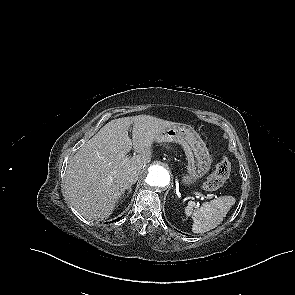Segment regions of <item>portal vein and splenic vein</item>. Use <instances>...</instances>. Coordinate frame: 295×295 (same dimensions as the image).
Returning <instances> with one entry per match:
<instances>
[{
    "instance_id": "1",
    "label": "portal vein and splenic vein",
    "mask_w": 295,
    "mask_h": 295,
    "mask_svg": "<svg viewBox=\"0 0 295 295\" xmlns=\"http://www.w3.org/2000/svg\"><path fill=\"white\" fill-rule=\"evenodd\" d=\"M194 194H195V195H198V196H200V197H203V195L200 194V193H198V192H195Z\"/></svg>"
}]
</instances>
